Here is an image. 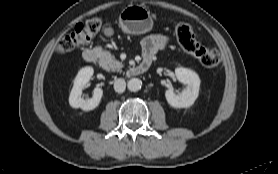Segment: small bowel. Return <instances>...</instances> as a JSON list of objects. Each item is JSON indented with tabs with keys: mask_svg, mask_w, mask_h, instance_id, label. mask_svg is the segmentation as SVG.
<instances>
[{
	"mask_svg": "<svg viewBox=\"0 0 278 174\" xmlns=\"http://www.w3.org/2000/svg\"><path fill=\"white\" fill-rule=\"evenodd\" d=\"M169 38L162 34H153L146 36L141 41L144 57H153L157 52L166 48Z\"/></svg>",
	"mask_w": 278,
	"mask_h": 174,
	"instance_id": "small-bowel-1",
	"label": "small bowel"
}]
</instances>
